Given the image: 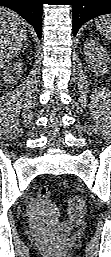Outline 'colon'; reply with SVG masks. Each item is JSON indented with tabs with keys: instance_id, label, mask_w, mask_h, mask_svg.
<instances>
[{
	"instance_id": "obj_1",
	"label": "colon",
	"mask_w": 111,
	"mask_h": 257,
	"mask_svg": "<svg viewBox=\"0 0 111 257\" xmlns=\"http://www.w3.org/2000/svg\"><path fill=\"white\" fill-rule=\"evenodd\" d=\"M50 197V190L47 187H41L37 192V198L40 205L44 208H49L50 203L48 199Z\"/></svg>"
}]
</instances>
